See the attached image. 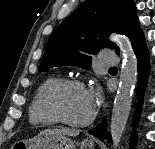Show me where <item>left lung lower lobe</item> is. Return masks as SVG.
<instances>
[{"label":"left lung lower lobe","instance_id":"0a47b994","mask_svg":"<svg viewBox=\"0 0 155 149\" xmlns=\"http://www.w3.org/2000/svg\"><path fill=\"white\" fill-rule=\"evenodd\" d=\"M130 41L132 42V48L138 60L139 81H140V86L143 89L141 91V94H143V91L145 90V87L147 84V78L149 74V54L145 46V39L142 31L140 29L137 30L136 33L130 38ZM116 52L117 54H119L120 51L117 50ZM141 105H142V98L139 99V106L136 109L135 125L137 124V121L139 119ZM106 127H107V121L104 120L96 128L89 130L88 133H90L93 136L99 137L101 140H104L107 138V140L111 142V135L108 134L106 136V131H107ZM135 140H136V135L134 134L131 138V147L134 146Z\"/></svg>","mask_w":155,"mask_h":149}]
</instances>
